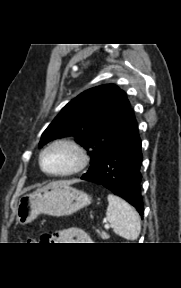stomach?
<instances>
[{
    "mask_svg": "<svg viewBox=\"0 0 181 288\" xmlns=\"http://www.w3.org/2000/svg\"><path fill=\"white\" fill-rule=\"evenodd\" d=\"M91 197L66 181H57L20 198L17 210V224L26 225L40 214L55 217L69 216L90 205Z\"/></svg>",
    "mask_w": 181,
    "mask_h": 288,
    "instance_id": "0dacf381",
    "label": "stomach"
}]
</instances>
